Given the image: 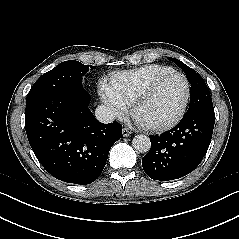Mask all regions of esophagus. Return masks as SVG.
I'll use <instances>...</instances> for the list:
<instances>
[{
	"label": "esophagus",
	"instance_id": "esophagus-1",
	"mask_svg": "<svg viewBox=\"0 0 239 239\" xmlns=\"http://www.w3.org/2000/svg\"><path fill=\"white\" fill-rule=\"evenodd\" d=\"M122 134L124 137H128L131 134V131L128 128H123Z\"/></svg>",
	"mask_w": 239,
	"mask_h": 239
}]
</instances>
